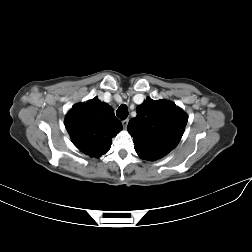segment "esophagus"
<instances>
[{"instance_id": "esophagus-1", "label": "esophagus", "mask_w": 252, "mask_h": 252, "mask_svg": "<svg viewBox=\"0 0 252 252\" xmlns=\"http://www.w3.org/2000/svg\"><path fill=\"white\" fill-rule=\"evenodd\" d=\"M128 122H129V120H128V119H125V120H123V121H122V124H123V127H124V128H126V127H127Z\"/></svg>"}]
</instances>
